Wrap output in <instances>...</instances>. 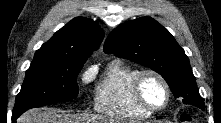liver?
<instances>
[{
    "instance_id": "1",
    "label": "liver",
    "mask_w": 221,
    "mask_h": 123,
    "mask_svg": "<svg viewBox=\"0 0 221 123\" xmlns=\"http://www.w3.org/2000/svg\"><path fill=\"white\" fill-rule=\"evenodd\" d=\"M99 121H104L103 119ZM106 121V120H105ZM88 115L64 113L54 108L31 109L17 119V123H95Z\"/></svg>"
}]
</instances>
